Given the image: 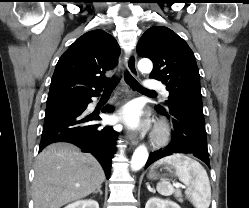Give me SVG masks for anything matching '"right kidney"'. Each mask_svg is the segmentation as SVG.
Returning a JSON list of instances; mask_svg holds the SVG:
<instances>
[{
  "label": "right kidney",
  "mask_w": 249,
  "mask_h": 208,
  "mask_svg": "<svg viewBox=\"0 0 249 208\" xmlns=\"http://www.w3.org/2000/svg\"><path fill=\"white\" fill-rule=\"evenodd\" d=\"M64 208H99V204L95 200H80L71 203Z\"/></svg>",
  "instance_id": "obj_1"
}]
</instances>
